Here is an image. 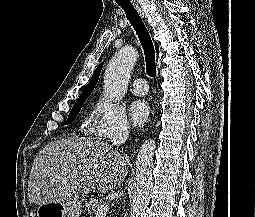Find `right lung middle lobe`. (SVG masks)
Here are the masks:
<instances>
[{
	"mask_svg": "<svg viewBox=\"0 0 255 217\" xmlns=\"http://www.w3.org/2000/svg\"><path fill=\"white\" fill-rule=\"evenodd\" d=\"M91 93H87L84 95H81L77 101L75 102L74 106L72 107L68 119H67V124H69L79 113L80 109L84 105L85 101L87 98L90 96Z\"/></svg>",
	"mask_w": 255,
	"mask_h": 217,
	"instance_id": "right-lung-middle-lobe-1",
	"label": "right lung middle lobe"
}]
</instances>
